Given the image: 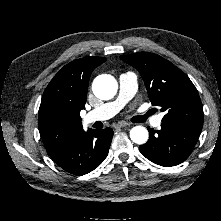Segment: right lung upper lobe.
Wrapping results in <instances>:
<instances>
[{"label": "right lung upper lobe", "instance_id": "obj_1", "mask_svg": "<svg viewBox=\"0 0 221 221\" xmlns=\"http://www.w3.org/2000/svg\"><path fill=\"white\" fill-rule=\"evenodd\" d=\"M105 61L94 56L74 60L48 84L39 108L38 128L49 154L84 132L80 111L85 108L89 78Z\"/></svg>", "mask_w": 221, "mask_h": 221}]
</instances>
